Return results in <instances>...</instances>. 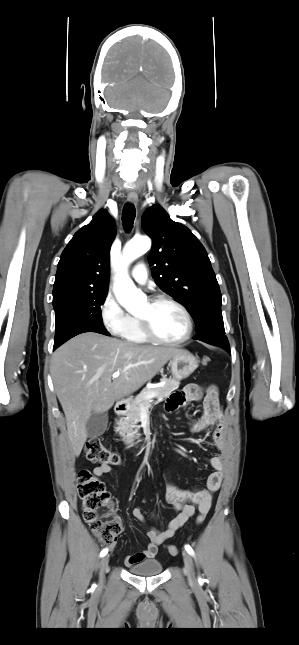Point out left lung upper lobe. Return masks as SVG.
I'll list each match as a JSON object with an SVG mask.
<instances>
[{
    "label": "left lung upper lobe",
    "mask_w": 299,
    "mask_h": 645,
    "mask_svg": "<svg viewBox=\"0 0 299 645\" xmlns=\"http://www.w3.org/2000/svg\"><path fill=\"white\" fill-rule=\"evenodd\" d=\"M141 223L153 241L148 261L156 284L187 308L196 323L194 339L209 344L227 339L221 292L203 245L160 205L148 208Z\"/></svg>",
    "instance_id": "1"
}]
</instances>
